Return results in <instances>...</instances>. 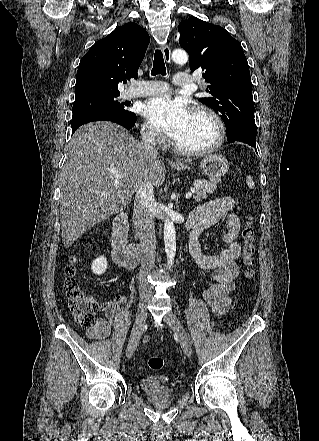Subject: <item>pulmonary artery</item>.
<instances>
[{"mask_svg":"<svg viewBox=\"0 0 319 441\" xmlns=\"http://www.w3.org/2000/svg\"><path fill=\"white\" fill-rule=\"evenodd\" d=\"M193 79L186 73H177L174 76L173 83L178 86H189ZM169 85L163 81H145L136 88L127 90L124 93L125 98H135L147 95L162 94L169 90Z\"/></svg>","mask_w":319,"mask_h":441,"instance_id":"1","label":"pulmonary artery"}]
</instances>
